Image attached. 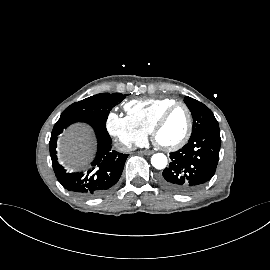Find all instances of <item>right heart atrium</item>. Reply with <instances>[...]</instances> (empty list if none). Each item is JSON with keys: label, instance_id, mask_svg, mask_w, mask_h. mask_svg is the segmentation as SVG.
Listing matches in <instances>:
<instances>
[{"label": "right heart atrium", "instance_id": "d8ad5b80", "mask_svg": "<svg viewBox=\"0 0 270 270\" xmlns=\"http://www.w3.org/2000/svg\"><path fill=\"white\" fill-rule=\"evenodd\" d=\"M106 127L126 147L140 145L147 138V134L128 115L111 112L107 117Z\"/></svg>", "mask_w": 270, "mask_h": 270}]
</instances>
